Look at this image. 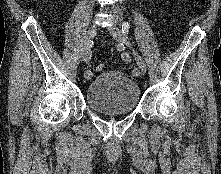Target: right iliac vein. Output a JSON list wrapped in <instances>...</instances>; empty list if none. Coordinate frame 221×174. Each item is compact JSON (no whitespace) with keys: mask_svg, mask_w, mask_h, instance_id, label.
Here are the masks:
<instances>
[{"mask_svg":"<svg viewBox=\"0 0 221 174\" xmlns=\"http://www.w3.org/2000/svg\"><path fill=\"white\" fill-rule=\"evenodd\" d=\"M97 30H98L97 25L93 24V25H91V27L87 31V34L85 36V47H84V50L81 55L82 61L86 60L87 55L90 52L89 45L91 44V41L96 36Z\"/></svg>","mask_w":221,"mask_h":174,"instance_id":"right-iliac-vein-1","label":"right iliac vein"}]
</instances>
